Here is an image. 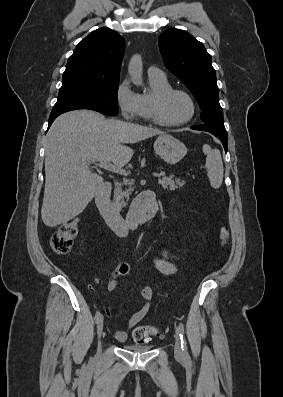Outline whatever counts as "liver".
<instances>
[{
	"label": "liver",
	"mask_w": 283,
	"mask_h": 397,
	"mask_svg": "<svg viewBox=\"0 0 283 397\" xmlns=\"http://www.w3.org/2000/svg\"><path fill=\"white\" fill-rule=\"evenodd\" d=\"M154 128L106 120L92 110L70 111L52 124L45 147V190L41 209L44 224L56 227L83 212L103 185L94 161L122 168L134 151L125 144L162 135Z\"/></svg>",
	"instance_id": "liver-1"
}]
</instances>
